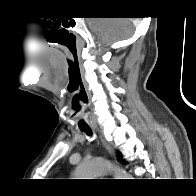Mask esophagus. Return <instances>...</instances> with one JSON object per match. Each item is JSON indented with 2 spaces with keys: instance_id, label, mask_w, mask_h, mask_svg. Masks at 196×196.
Instances as JSON below:
<instances>
[{
  "instance_id": "34e87169",
  "label": "esophagus",
  "mask_w": 196,
  "mask_h": 196,
  "mask_svg": "<svg viewBox=\"0 0 196 196\" xmlns=\"http://www.w3.org/2000/svg\"><path fill=\"white\" fill-rule=\"evenodd\" d=\"M106 148L107 150L111 153V154H114L112 148L110 147V145L108 143H106Z\"/></svg>"
}]
</instances>
